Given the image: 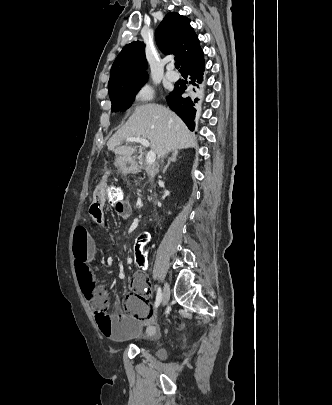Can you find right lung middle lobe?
Returning <instances> with one entry per match:
<instances>
[{
    "instance_id": "dd1d6c3e",
    "label": "right lung middle lobe",
    "mask_w": 332,
    "mask_h": 405,
    "mask_svg": "<svg viewBox=\"0 0 332 405\" xmlns=\"http://www.w3.org/2000/svg\"><path fill=\"white\" fill-rule=\"evenodd\" d=\"M146 80L147 78L128 80L109 89V96L112 102L111 111L118 112L128 109L135 99L136 92Z\"/></svg>"
}]
</instances>
